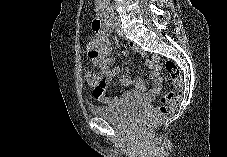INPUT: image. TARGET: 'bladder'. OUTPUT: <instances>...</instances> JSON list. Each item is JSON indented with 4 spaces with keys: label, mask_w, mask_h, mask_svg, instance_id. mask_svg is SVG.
Wrapping results in <instances>:
<instances>
[{
    "label": "bladder",
    "mask_w": 227,
    "mask_h": 157,
    "mask_svg": "<svg viewBox=\"0 0 227 157\" xmlns=\"http://www.w3.org/2000/svg\"><path fill=\"white\" fill-rule=\"evenodd\" d=\"M92 115L102 118L116 126H127L135 119L139 118L144 109L142 106L127 104L121 107L92 106Z\"/></svg>",
    "instance_id": "1"
}]
</instances>
